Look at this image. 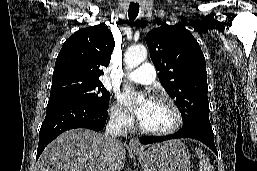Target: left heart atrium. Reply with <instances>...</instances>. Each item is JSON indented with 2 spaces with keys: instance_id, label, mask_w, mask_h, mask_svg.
I'll return each mask as SVG.
<instances>
[{
  "instance_id": "1",
  "label": "left heart atrium",
  "mask_w": 257,
  "mask_h": 171,
  "mask_svg": "<svg viewBox=\"0 0 257 171\" xmlns=\"http://www.w3.org/2000/svg\"><path fill=\"white\" fill-rule=\"evenodd\" d=\"M121 101L131 109V111L139 120H141L145 116V114L153 104V101L151 99H146L141 104H135V97L130 93H124L121 96Z\"/></svg>"
}]
</instances>
